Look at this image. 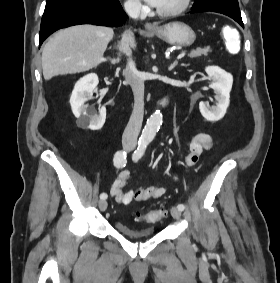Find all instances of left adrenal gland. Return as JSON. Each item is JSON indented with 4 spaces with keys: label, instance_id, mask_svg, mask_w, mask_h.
I'll use <instances>...</instances> for the list:
<instances>
[{
    "label": "left adrenal gland",
    "instance_id": "1",
    "mask_svg": "<svg viewBox=\"0 0 280 283\" xmlns=\"http://www.w3.org/2000/svg\"><path fill=\"white\" fill-rule=\"evenodd\" d=\"M176 65H177V61H174L170 66H169V70L171 71V70H173L175 67H176Z\"/></svg>",
    "mask_w": 280,
    "mask_h": 283
}]
</instances>
